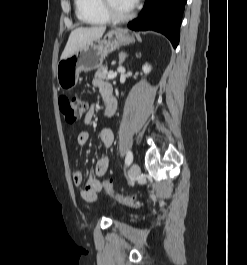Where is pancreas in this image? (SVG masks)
Here are the masks:
<instances>
[{"label":"pancreas","instance_id":"obj_1","mask_svg":"<svg viewBox=\"0 0 247 265\" xmlns=\"http://www.w3.org/2000/svg\"><path fill=\"white\" fill-rule=\"evenodd\" d=\"M109 73L110 72H108L107 66H100L95 73V79L108 80Z\"/></svg>","mask_w":247,"mask_h":265}]
</instances>
